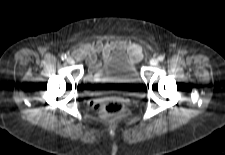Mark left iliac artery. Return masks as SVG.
I'll return each mask as SVG.
<instances>
[{
    "mask_svg": "<svg viewBox=\"0 0 225 155\" xmlns=\"http://www.w3.org/2000/svg\"><path fill=\"white\" fill-rule=\"evenodd\" d=\"M158 60H159V61H163V60H164V56L160 55V56L158 57Z\"/></svg>",
    "mask_w": 225,
    "mask_h": 155,
    "instance_id": "1",
    "label": "left iliac artery"
}]
</instances>
